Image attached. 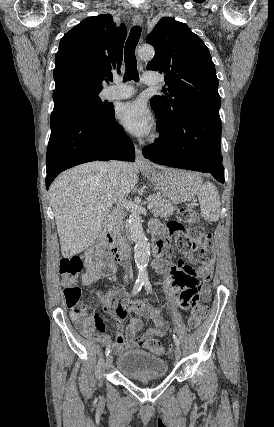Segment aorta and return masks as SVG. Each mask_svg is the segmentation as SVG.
I'll return each mask as SVG.
<instances>
[{
    "label": "aorta",
    "mask_w": 274,
    "mask_h": 427,
    "mask_svg": "<svg viewBox=\"0 0 274 427\" xmlns=\"http://www.w3.org/2000/svg\"><path fill=\"white\" fill-rule=\"evenodd\" d=\"M138 55L142 59L150 60L154 56V49L151 46H143L139 49ZM129 232L135 242L134 260L139 270L138 278L142 281L147 279V265L150 256V244L142 228L141 217L136 210L129 216Z\"/></svg>",
    "instance_id": "obj_1"
}]
</instances>
